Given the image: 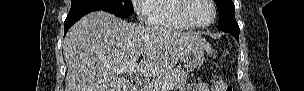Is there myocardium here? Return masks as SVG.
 Wrapping results in <instances>:
<instances>
[{
  "mask_svg": "<svg viewBox=\"0 0 304 91\" xmlns=\"http://www.w3.org/2000/svg\"><path fill=\"white\" fill-rule=\"evenodd\" d=\"M206 1L211 6L212 11H213V16H212V19L210 22H208L207 24H198L191 19L189 10L192 6L193 0H180V4L178 7V13H179L181 19L183 21H185L192 28L205 29V28L210 27L216 20L217 10H216V6H215V3L213 0H206Z\"/></svg>",
  "mask_w": 304,
  "mask_h": 91,
  "instance_id": "f54148a6",
  "label": "myocardium"
}]
</instances>
